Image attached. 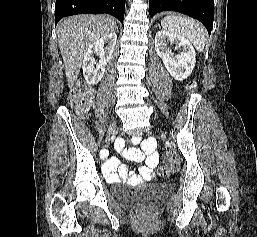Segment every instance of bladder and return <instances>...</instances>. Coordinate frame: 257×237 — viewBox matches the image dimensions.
I'll use <instances>...</instances> for the list:
<instances>
[{"instance_id":"31cf9c89","label":"bladder","mask_w":257,"mask_h":237,"mask_svg":"<svg viewBox=\"0 0 257 237\" xmlns=\"http://www.w3.org/2000/svg\"><path fill=\"white\" fill-rule=\"evenodd\" d=\"M163 194L160 186L146 190H130L124 194L122 200L130 205H152L156 203Z\"/></svg>"}]
</instances>
